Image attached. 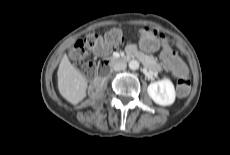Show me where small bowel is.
<instances>
[{
  "instance_id": "1",
  "label": "small bowel",
  "mask_w": 230,
  "mask_h": 155,
  "mask_svg": "<svg viewBox=\"0 0 230 155\" xmlns=\"http://www.w3.org/2000/svg\"><path fill=\"white\" fill-rule=\"evenodd\" d=\"M142 46L146 51H154L158 48L159 43L155 38H146L144 37L142 39ZM128 51H133L136 52V46L135 45H129L128 46ZM99 53H103L102 51H99ZM162 57L164 60V63L166 65V67L168 69H170L172 72L178 74V72L180 71L182 65L180 64L178 58L176 55H174L173 53H171L168 50H165L162 53Z\"/></svg>"
}]
</instances>
